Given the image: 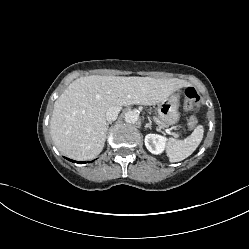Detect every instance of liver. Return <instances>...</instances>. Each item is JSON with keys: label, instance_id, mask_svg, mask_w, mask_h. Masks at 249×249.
Returning a JSON list of instances; mask_svg holds the SVG:
<instances>
[{"label": "liver", "instance_id": "1", "mask_svg": "<svg viewBox=\"0 0 249 249\" xmlns=\"http://www.w3.org/2000/svg\"><path fill=\"white\" fill-rule=\"evenodd\" d=\"M190 84L177 78L90 75L74 80L54 103L50 133L65 156L91 160L103 150L106 112L113 106L155 105Z\"/></svg>", "mask_w": 249, "mask_h": 249}]
</instances>
